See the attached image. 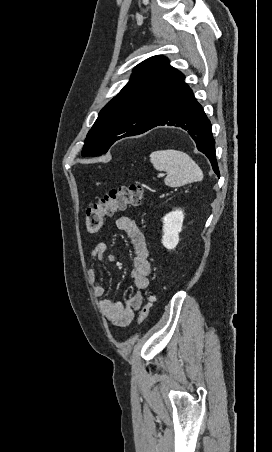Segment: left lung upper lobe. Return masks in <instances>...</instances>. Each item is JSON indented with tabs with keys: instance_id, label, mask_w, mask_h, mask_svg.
<instances>
[{
	"instance_id": "5c2ea615",
	"label": "left lung upper lobe",
	"mask_w": 272,
	"mask_h": 452,
	"mask_svg": "<svg viewBox=\"0 0 272 452\" xmlns=\"http://www.w3.org/2000/svg\"><path fill=\"white\" fill-rule=\"evenodd\" d=\"M184 78L163 56H153L138 64L130 81L100 111L87 134L82 156L102 155L115 141L145 131L184 83Z\"/></svg>"
}]
</instances>
